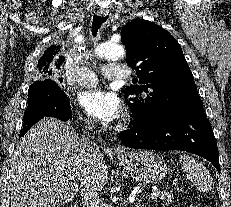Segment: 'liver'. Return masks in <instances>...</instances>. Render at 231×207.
<instances>
[{
    "label": "liver",
    "mask_w": 231,
    "mask_h": 207,
    "mask_svg": "<svg viewBox=\"0 0 231 207\" xmlns=\"http://www.w3.org/2000/svg\"><path fill=\"white\" fill-rule=\"evenodd\" d=\"M101 160L96 171L99 191L108 178ZM87 165L80 138L69 122L46 117L20 140L11 158V207H55L74 199Z\"/></svg>",
    "instance_id": "1"
}]
</instances>
